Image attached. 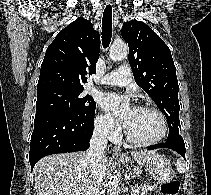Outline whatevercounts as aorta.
<instances>
[{
    "label": "aorta",
    "mask_w": 211,
    "mask_h": 195,
    "mask_svg": "<svg viewBox=\"0 0 211 195\" xmlns=\"http://www.w3.org/2000/svg\"><path fill=\"white\" fill-rule=\"evenodd\" d=\"M129 47L124 42L113 43L109 50L110 59L113 61L123 60L128 56ZM119 181L116 175H112L109 181L108 194L109 195H119Z\"/></svg>",
    "instance_id": "obj_1"
}]
</instances>
